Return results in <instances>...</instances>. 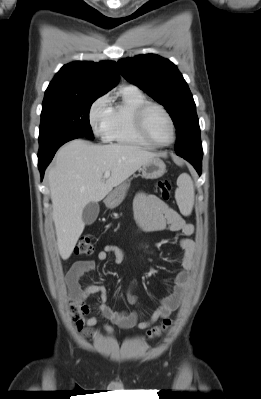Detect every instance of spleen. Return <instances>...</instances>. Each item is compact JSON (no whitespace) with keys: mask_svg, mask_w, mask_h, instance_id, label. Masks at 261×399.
<instances>
[{"mask_svg":"<svg viewBox=\"0 0 261 399\" xmlns=\"http://www.w3.org/2000/svg\"><path fill=\"white\" fill-rule=\"evenodd\" d=\"M178 188L175 192V198L180 212L188 216L191 214L194 205V185L191 177L187 174H181L177 179Z\"/></svg>","mask_w":261,"mask_h":399,"instance_id":"spleen-1","label":"spleen"}]
</instances>
